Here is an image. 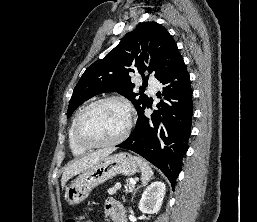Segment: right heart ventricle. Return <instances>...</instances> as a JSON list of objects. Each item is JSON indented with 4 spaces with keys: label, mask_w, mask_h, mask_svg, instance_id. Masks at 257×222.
<instances>
[{
    "label": "right heart ventricle",
    "mask_w": 257,
    "mask_h": 222,
    "mask_svg": "<svg viewBox=\"0 0 257 222\" xmlns=\"http://www.w3.org/2000/svg\"><path fill=\"white\" fill-rule=\"evenodd\" d=\"M82 111V110H81ZM81 111L75 116V118L73 119L69 131H68V142H69V147L71 149V152L74 155H81L83 153H85L88 149L85 147L80 146L74 139V125L76 122V119L78 117V115L81 113Z\"/></svg>",
    "instance_id": "right-heart-ventricle-1"
}]
</instances>
